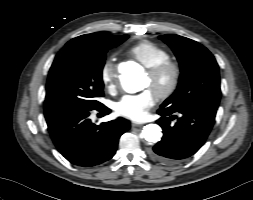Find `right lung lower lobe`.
<instances>
[{"label":"right lung lower lobe","mask_w":253,"mask_h":200,"mask_svg":"<svg viewBox=\"0 0 253 200\" xmlns=\"http://www.w3.org/2000/svg\"><path fill=\"white\" fill-rule=\"evenodd\" d=\"M96 110L110 113L104 105ZM90 111L75 108L45 111L49 133L59 152L72 164L83 167L112 158L120 136L130 128L124 118L96 125L89 119Z\"/></svg>","instance_id":"right-lung-lower-lobe-1"}]
</instances>
